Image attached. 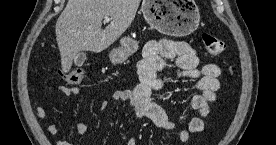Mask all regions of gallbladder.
Listing matches in <instances>:
<instances>
[{"label": "gallbladder", "instance_id": "gallbladder-1", "mask_svg": "<svg viewBox=\"0 0 276 145\" xmlns=\"http://www.w3.org/2000/svg\"><path fill=\"white\" fill-rule=\"evenodd\" d=\"M86 60V54L84 52H79L74 58V63L76 66H82Z\"/></svg>", "mask_w": 276, "mask_h": 145}]
</instances>
